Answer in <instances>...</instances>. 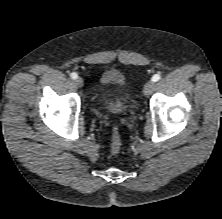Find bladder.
<instances>
[{"mask_svg": "<svg viewBox=\"0 0 222 219\" xmlns=\"http://www.w3.org/2000/svg\"><path fill=\"white\" fill-rule=\"evenodd\" d=\"M99 84L101 87L109 85L117 87L119 94L115 99L108 100L105 105L110 112L123 114L128 108V96L125 92L127 87L125 76L116 69L108 68L101 73Z\"/></svg>", "mask_w": 222, "mask_h": 219, "instance_id": "31cf9c89", "label": "bladder"}]
</instances>
